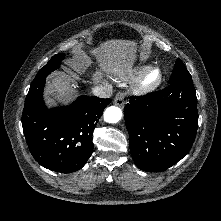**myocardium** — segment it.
I'll list each match as a JSON object with an SVG mask.
<instances>
[{
    "instance_id": "1",
    "label": "myocardium",
    "mask_w": 221,
    "mask_h": 221,
    "mask_svg": "<svg viewBox=\"0 0 221 221\" xmlns=\"http://www.w3.org/2000/svg\"><path fill=\"white\" fill-rule=\"evenodd\" d=\"M163 82V72L156 66L143 70L133 84V89L140 93H146L157 89Z\"/></svg>"
}]
</instances>
